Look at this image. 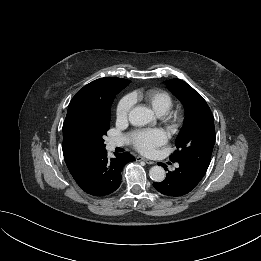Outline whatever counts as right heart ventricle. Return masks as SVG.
Returning <instances> with one entry per match:
<instances>
[{
	"mask_svg": "<svg viewBox=\"0 0 261 261\" xmlns=\"http://www.w3.org/2000/svg\"><path fill=\"white\" fill-rule=\"evenodd\" d=\"M130 97L133 102L144 101L159 116L166 113L173 104L171 95L161 89H150L144 92H132Z\"/></svg>",
	"mask_w": 261,
	"mask_h": 261,
	"instance_id": "e07e8e85",
	"label": "right heart ventricle"
}]
</instances>
